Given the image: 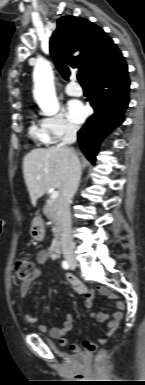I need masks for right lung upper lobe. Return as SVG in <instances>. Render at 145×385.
<instances>
[{
	"mask_svg": "<svg viewBox=\"0 0 145 385\" xmlns=\"http://www.w3.org/2000/svg\"><path fill=\"white\" fill-rule=\"evenodd\" d=\"M50 53L65 79L73 69H78L87 83L125 62L120 50L100 27L73 16L58 20L50 39Z\"/></svg>",
	"mask_w": 145,
	"mask_h": 385,
	"instance_id": "cb5924a9",
	"label": "right lung upper lobe"
}]
</instances>
